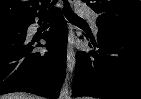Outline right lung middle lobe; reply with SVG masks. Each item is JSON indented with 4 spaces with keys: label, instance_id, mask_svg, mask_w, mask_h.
Returning <instances> with one entry per match:
<instances>
[{
    "label": "right lung middle lobe",
    "instance_id": "dd1d6c3e",
    "mask_svg": "<svg viewBox=\"0 0 141 99\" xmlns=\"http://www.w3.org/2000/svg\"><path fill=\"white\" fill-rule=\"evenodd\" d=\"M18 27H21V22H19V21L0 22V29L18 28Z\"/></svg>",
    "mask_w": 141,
    "mask_h": 99
}]
</instances>
